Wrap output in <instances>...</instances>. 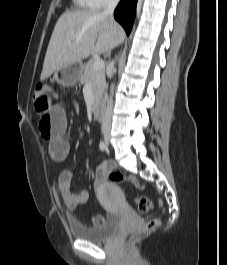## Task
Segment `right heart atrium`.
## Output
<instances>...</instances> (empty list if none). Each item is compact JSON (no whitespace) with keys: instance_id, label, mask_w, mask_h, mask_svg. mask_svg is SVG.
Wrapping results in <instances>:
<instances>
[{"instance_id":"d8ad5b80","label":"right heart atrium","mask_w":227,"mask_h":265,"mask_svg":"<svg viewBox=\"0 0 227 265\" xmlns=\"http://www.w3.org/2000/svg\"><path fill=\"white\" fill-rule=\"evenodd\" d=\"M92 1L95 8H103L114 3L116 0H92Z\"/></svg>"}]
</instances>
